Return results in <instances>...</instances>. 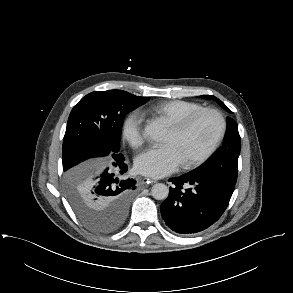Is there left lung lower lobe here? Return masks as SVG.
Returning <instances> with one entry per match:
<instances>
[{
  "label": "left lung lower lobe",
  "instance_id": "left-lung-lower-lobe-1",
  "mask_svg": "<svg viewBox=\"0 0 293 293\" xmlns=\"http://www.w3.org/2000/svg\"><path fill=\"white\" fill-rule=\"evenodd\" d=\"M168 198L160 210L166 225L180 234H193L215 223L228 206L235 184L191 171L171 178ZM189 188L183 190V186Z\"/></svg>",
  "mask_w": 293,
  "mask_h": 293
}]
</instances>
